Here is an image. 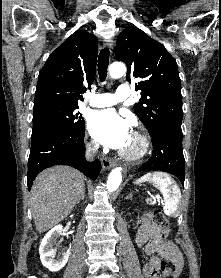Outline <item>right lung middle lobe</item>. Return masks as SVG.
Masks as SVG:
<instances>
[{
    "mask_svg": "<svg viewBox=\"0 0 221 278\" xmlns=\"http://www.w3.org/2000/svg\"><path fill=\"white\" fill-rule=\"evenodd\" d=\"M78 105L44 103L34 106L31 139L53 131H76L85 126Z\"/></svg>",
    "mask_w": 221,
    "mask_h": 278,
    "instance_id": "obj_1",
    "label": "right lung middle lobe"
}]
</instances>
